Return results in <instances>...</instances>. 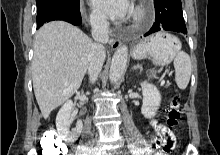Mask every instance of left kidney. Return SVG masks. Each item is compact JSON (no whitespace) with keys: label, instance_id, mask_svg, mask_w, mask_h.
Here are the masks:
<instances>
[{"label":"left kidney","instance_id":"1","mask_svg":"<svg viewBox=\"0 0 220 155\" xmlns=\"http://www.w3.org/2000/svg\"><path fill=\"white\" fill-rule=\"evenodd\" d=\"M143 93V105L141 113L145 118H151L156 115L160 106L161 94L155 86L150 83H141Z\"/></svg>","mask_w":220,"mask_h":155}]
</instances>
